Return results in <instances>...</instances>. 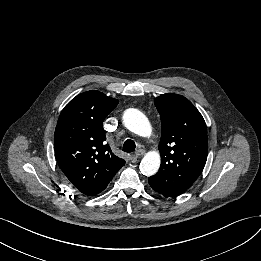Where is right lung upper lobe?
Wrapping results in <instances>:
<instances>
[{
	"label": "right lung upper lobe",
	"mask_w": 261,
	"mask_h": 261,
	"mask_svg": "<svg viewBox=\"0 0 261 261\" xmlns=\"http://www.w3.org/2000/svg\"><path fill=\"white\" fill-rule=\"evenodd\" d=\"M118 100L102 92L87 91L62 110L54 134L60 169L82 194L101 193L125 161L115 156L103 130V121Z\"/></svg>",
	"instance_id": "right-lung-upper-lobe-1"
}]
</instances>
